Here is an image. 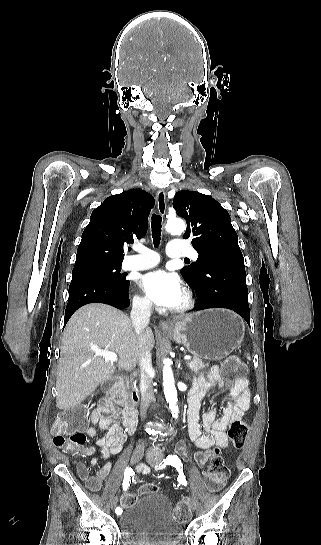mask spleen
Listing matches in <instances>:
<instances>
[{
  "label": "spleen",
  "instance_id": "3e777b00",
  "mask_svg": "<svg viewBox=\"0 0 321 545\" xmlns=\"http://www.w3.org/2000/svg\"><path fill=\"white\" fill-rule=\"evenodd\" d=\"M247 359H249V361H250V357H249V355H247Z\"/></svg>",
  "mask_w": 321,
  "mask_h": 545
}]
</instances>
